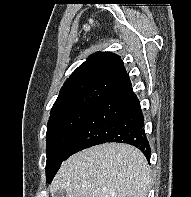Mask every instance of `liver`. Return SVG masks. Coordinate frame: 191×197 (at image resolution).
I'll return each instance as SVG.
<instances>
[{
  "instance_id": "obj_1",
  "label": "liver",
  "mask_w": 191,
  "mask_h": 197,
  "mask_svg": "<svg viewBox=\"0 0 191 197\" xmlns=\"http://www.w3.org/2000/svg\"><path fill=\"white\" fill-rule=\"evenodd\" d=\"M151 169L134 146L105 143L78 152L64 161L50 192L66 197H147Z\"/></svg>"
}]
</instances>
